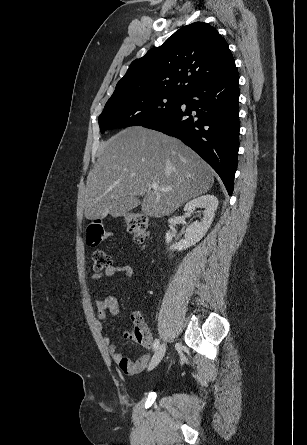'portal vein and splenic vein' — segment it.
I'll return each instance as SVG.
<instances>
[{"label":"portal vein and splenic vein","instance_id":"obj_1","mask_svg":"<svg viewBox=\"0 0 307 445\" xmlns=\"http://www.w3.org/2000/svg\"><path fill=\"white\" fill-rule=\"evenodd\" d=\"M151 188H154V190H158V188H161V190H171V188H164V186H159L157 182H151Z\"/></svg>","mask_w":307,"mask_h":445}]
</instances>
